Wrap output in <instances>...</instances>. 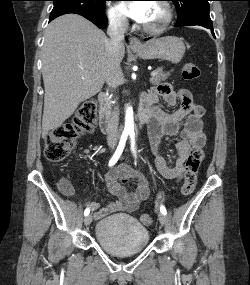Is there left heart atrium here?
Here are the masks:
<instances>
[{"mask_svg":"<svg viewBox=\"0 0 250 285\" xmlns=\"http://www.w3.org/2000/svg\"><path fill=\"white\" fill-rule=\"evenodd\" d=\"M152 5L153 4L149 1L131 2L125 5V11L127 15L135 21L145 23Z\"/></svg>","mask_w":250,"mask_h":285,"instance_id":"obj_1","label":"left heart atrium"}]
</instances>
